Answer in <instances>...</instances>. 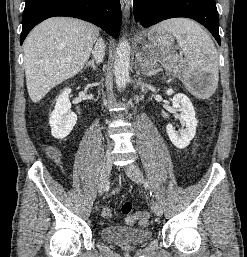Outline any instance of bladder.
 <instances>
[{
  "label": "bladder",
  "instance_id": "obj_1",
  "mask_svg": "<svg viewBox=\"0 0 247 257\" xmlns=\"http://www.w3.org/2000/svg\"><path fill=\"white\" fill-rule=\"evenodd\" d=\"M152 236L153 233L149 228L112 225L101 229L104 241L121 246L142 245L150 241Z\"/></svg>",
  "mask_w": 247,
  "mask_h": 257
}]
</instances>
